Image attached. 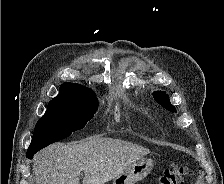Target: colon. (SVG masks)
I'll return each mask as SVG.
<instances>
[{"label": "colon", "instance_id": "colon-1", "mask_svg": "<svg viewBox=\"0 0 224 184\" xmlns=\"http://www.w3.org/2000/svg\"><path fill=\"white\" fill-rule=\"evenodd\" d=\"M186 166L172 164L159 178L158 184H183L184 177L187 175Z\"/></svg>", "mask_w": 224, "mask_h": 184}]
</instances>
